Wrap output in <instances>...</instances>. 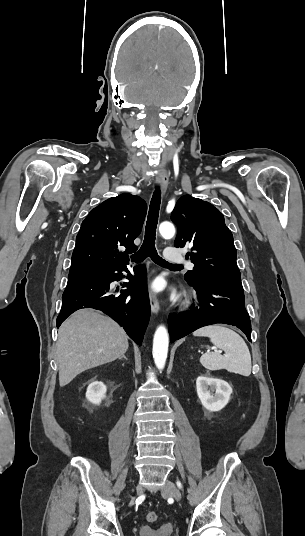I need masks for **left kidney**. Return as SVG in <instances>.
Masks as SVG:
<instances>
[{"label":"left kidney","mask_w":305,"mask_h":536,"mask_svg":"<svg viewBox=\"0 0 305 536\" xmlns=\"http://www.w3.org/2000/svg\"><path fill=\"white\" fill-rule=\"evenodd\" d=\"M197 396L204 408L210 412H219L230 400L232 388L228 382L219 380V378H211L202 374L196 380Z\"/></svg>","instance_id":"left-kidney-1"}]
</instances>
